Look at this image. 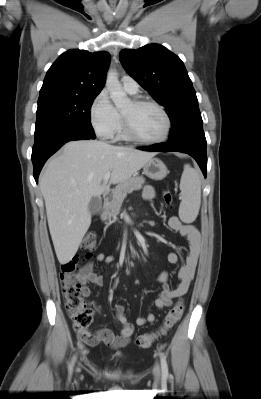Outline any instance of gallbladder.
<instances>
[{
  "label": "gallbladder",
  "mask_w": 261,
  "mask_h": 399,
  "mask_svg": "<svg viewBox=\"0 0 261 399\" xmlns=\"http://www.w3.org/2000/svg\"><path fill=\"white\" fill-rule=\"evenodd\" d=\"M102 200L100 197H92L89 202L88 210L91 214H96L101 208Z\"/></svg>",
  "instance_id": "bac80fb5"
}]
</instances>
